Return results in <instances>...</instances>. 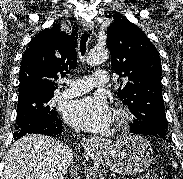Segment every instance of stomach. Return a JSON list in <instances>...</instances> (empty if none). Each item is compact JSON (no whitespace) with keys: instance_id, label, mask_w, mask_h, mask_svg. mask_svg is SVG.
I'll return each instance as SVG.
<instances>
[{"instance_id":"obj_1","label":"stomach","mask_w":183,"mask_h":179,"mask_svg":"<svg viewBox=\"0 0 183 179\" xmlns=\"http://www.w3.org/2000/svg\"><path fill=\"white\" fill-rule=\"evenodd\" d=\"M95 157L113 172L132 175L150 166L153 150L143 137L129 136L119 139L110 147H101Z\"/></svg>"}]
</instances>
